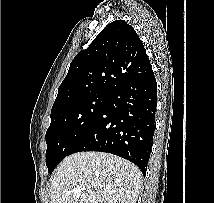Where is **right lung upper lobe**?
<instances>
[{"label": "right lung upper lobe", "mask_w": 214, "mask_h": 203, "mask_svg": "<svg viewBox=\"0 0 214 203\" xmlns=\"http://www.w3.org/2000/svg\"><path fill=\"white\" fill-rule=\"evenodd\" d=\"M151 69L134 28L123 20L114 21L72 60L52 109L93 93L110 94Z\"/></svg>", "instance_id": "right-lung-upper-lobe-1"}]
</instances>
